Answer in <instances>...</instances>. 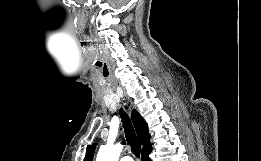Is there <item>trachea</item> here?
<instances>
[{
    "label": "trachea",
    "mask_w": 261,
    "mask_h": 161,
    "mask_svg": "<svg viewBox=\"0 0 261 161\" xmlns=\"http://www.w3.org/2000/svg\"><path fill=\"white\" fill-rule=\"evenodd\" d=\"M120 115L122 118V123H123V128H124L127 143L131 147L132 153L136 157H140L141 147L140 144L138 143V139L135 130L133 128L132 122L128 117V115L123 110H120Z\"/></svg>",
    "instance_id": "1"
}]
</instances>
